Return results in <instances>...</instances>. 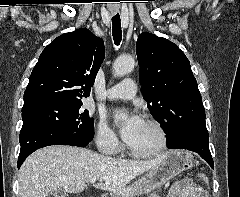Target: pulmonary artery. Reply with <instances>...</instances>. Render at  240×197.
<instances>
[{
	"instance_id": "obj_1",
	"label": "pulmonary artery",
	"mask_w": 240,
	"mask_h": 197,
	"mask_svg": "<svg viewBox=\"0 0 240 197\" xmlns=\"http://www.w3.org/2000/svg\"><path fill=\"white\" fill-rule=\"evenodd\" d=\"M137 87L135 82L130 79H124L121 83L109 88L103 95V99H131L136 95Z\"/></svg>"
}]
</instances>
